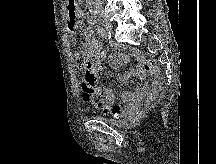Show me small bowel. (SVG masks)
I'll return each instance as SVG.
<instances>
[{"instance_id": "1", "label": "small bowel", "mask_w": 216, "mask_h": 164, "mask_svg": "<svg viewBox=\"0 0 216 164\" xmlns=\"http://www.w3.org/2000/svg\"><path fill=\"white\" fill-rule=\"evenodd\" d=\"M83 36L84 43L81 47L82 54L77 57V60L78 58H83L98 70L102 59L105 57V52L90 28H86L83 31ZM126 59L127 57L123 54H116L115 56L116 62H123ZM137 59L140 61L139 56H137ZM144 74L145 69L143 64L139 62L136 69L125 71L120 75L122 81L129 82L136 87L133 93H122L123 102L120 104H115L114 92L105 86L88 88L83 84V100L94 109L102 111L105 115L111 116L115 120L124 119L131 115L137 107V104L148 92V87L146 85L140 86L139 82L134 79L135 77H143ZM96 97H99L100 100H96Z\"/></svg>"}]
</instances>
